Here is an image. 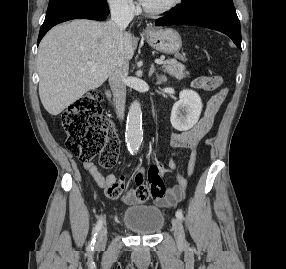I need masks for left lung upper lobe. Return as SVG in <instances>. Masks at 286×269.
<instances>
[{
  "mask_svg": "<svg viewBox=\"0 0 286 269\" xmlns=\"http://www.w3.org/2000/svg\"><path fill=\"white\" fill-rule=\"evenodd\" d=\"M233 6L232 0H182L180 7H174L172 10L188 11L203 6Z\"/></svg>",
  "mask_w": 286,
  "mask_h": 269,
  "instance_id": "obj_1",
  "label": "left lung upper lobe"
}]
</instances>
